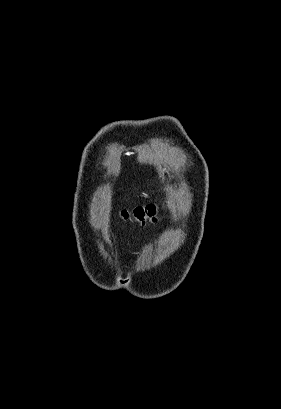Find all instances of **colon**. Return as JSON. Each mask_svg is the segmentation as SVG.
Masks as SVG:
<instances>
[{
  "instance_id": "1",
  "label": "colon",
  "mask_w": 281,
  "mask_h": 409,
  "mask_svg": "<svg viewBox=\"0 0 281 409\" xmlns=\"http://www.w3.org/2000/svg\"><path fill=\"white\" fill-rule=\"evenodd\" d=\"M157 208L158 206L154 203L138 205L131 210L125 209L122 214L125 219L144 225L147 222H154L156 220Z\"/></svg>"
}]
</instances>
